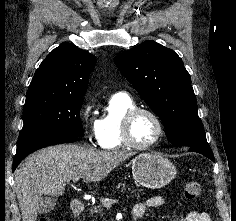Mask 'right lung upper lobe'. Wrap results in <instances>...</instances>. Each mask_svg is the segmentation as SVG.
<instances>
[{
    "label": "right lung upper lobe",
    "mask_w": 236,
    "mask_h": 221,
    "mask_svg": "<svg viewBox=\"0 0 236 221\" xmlns=\"http://www.w3.org/2000/svg\"><path fill=\"white\" fill-rule=\"evenodd\" d=\"M95 63L89 52L63 42L40 64L27 95L83 96Z\"/></svg>",
    "instance_id": "right-lung-upper-lobe-1"
}]
</instances>
